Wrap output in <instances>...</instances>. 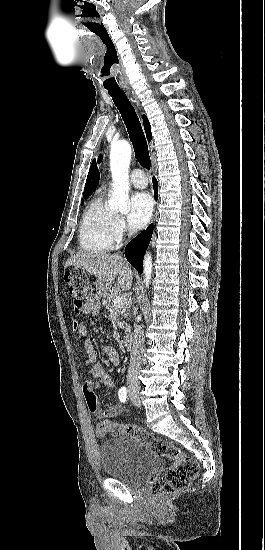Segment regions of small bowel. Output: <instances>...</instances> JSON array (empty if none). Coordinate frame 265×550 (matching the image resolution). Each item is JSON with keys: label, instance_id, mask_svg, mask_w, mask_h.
<instances>
[{"label": "small bowel", "instance_id": "small-bowel-1", "mask_svg": "<svg viewBox=\"0 0 265 550\" xmlns=\"http://www.w3.org/2000/svg\"><path fill=\"white\" fill-rule=\"evenodd\" d=\"M100 309V300L96 295H90L83 307V313L95 315ZM75 331L82 339L83 365L90 366L88 378L83 384V394L87 402L89 410L94 413L98 418H111L121 413L122 408L119 405H114L109 408H102L95 395V390L100 387L113 388L114 380L110 373H108L104 366L95 363V350L87 336V329L83 324L78 323L75 326ZM103 355L112 363L117 364L119 362V354L117 350L110 346L104 345L102 348Z\"/></svg>", "mask_w": 265, "mask_h": 550}]
</instances>
